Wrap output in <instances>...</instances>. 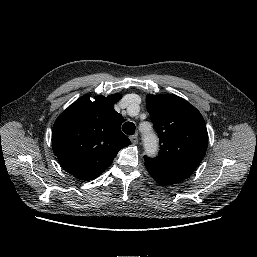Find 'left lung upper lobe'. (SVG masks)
<instances>
[{"instance_id": "obj_1", "label": "left lung upper lobe", "mask_w": 257, "mask_h": 257, "mask_svg": "<svg viewBox=\"0 0 257 257\" xmlns=\"http://www.w3.org/2000/svg\"><path fill=\"white\" fill-rule=\"evenodd\" d=\"M146 104L159 136L160 152L154 159L145 156V166L188 178L204 158L208 146L201 113L174 94H149Z\"/></svg>"}]
</instances>
